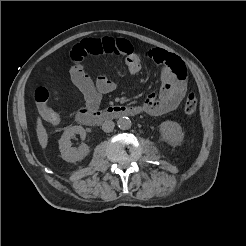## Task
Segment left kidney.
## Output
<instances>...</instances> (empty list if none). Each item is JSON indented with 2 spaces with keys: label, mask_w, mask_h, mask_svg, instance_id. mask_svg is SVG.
Returning a JSON list of instances; mask_svg holds the SVG:
<instances>
[{
  "label": "left kidney",
  "mask_w": 246,
  "mask_h": 246,
  "mask_svg": "<svg viewBox=\"0 0 246 246\" xmlns=\"http://www.w3.org/2000/svg\"><path fill=\"white\" fill-rule=\"evenodd\" d=\"M159 127L162 139L170 145L177 144L184 139L182 128L175 121H164Z\"/></svg>",
  "instance_id": "left-kidney-1"
}]
</instances>
